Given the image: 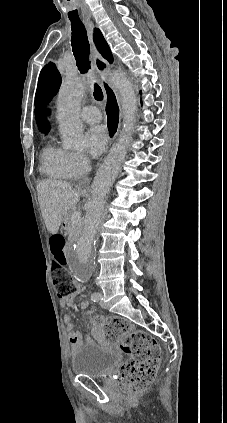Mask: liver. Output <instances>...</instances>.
<instances>
[{"label":"liver","instance_id":"1","mask_svg":"<svg viewBox=\"0 0 227 423\" xmlns=\"http://www.w3.org/2000/svg\"><path fill=\"white\" fill-rule=\"evenodd\" d=\"M38 202L50 233H57L68 211L73 210L84 196V190H74L68 182L42 180L37 186Z\"/></svg>","mask_w":227,"mask_h":423}]
</instances>
